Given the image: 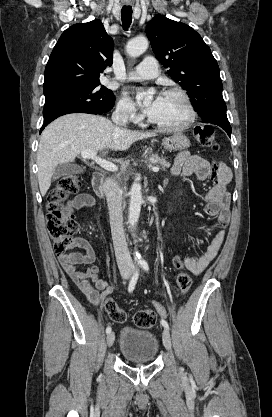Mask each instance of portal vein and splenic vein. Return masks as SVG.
<instances>
[{"label":"portal vein and splenic vein","mask_w":272,"mask_h":417,"mask_svg":"<svg viewBox=\"0 0 272 417\" xmlns=\"http://www.w3.org/2000/svg\"><path fill=\"white\" fill-rule=\"evenodd\" d=\"M81 156L84 159H92L97 165H99L100 167H102L103 169L107 171H111V172L118 171V167L114 163L98 157L96 151L84 150L81 152ZM152 171L158 172L159 168L152 167Z\"/></svg>","instance_id":"18ae733b"}]
</instances>
